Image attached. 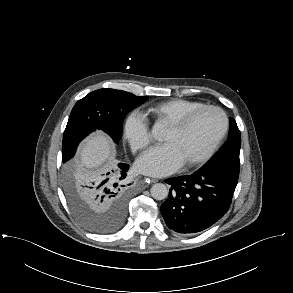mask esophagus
<instances>
[{"label":"esophagus","instance_id":"1","mask_svg":"<svg viewBox=\"0 0 293 293\" xmlns=\"http://www.w3.org/2000/svg\"><path fill=\"white\" fill-rule=\"evenodd\" d=\"M145 180L147 181H149V182H151V183H156V182H158V180L157 179H152V178H145Z\"/></svg>","mask_w":293,"mask_h":293}]
</instances>
